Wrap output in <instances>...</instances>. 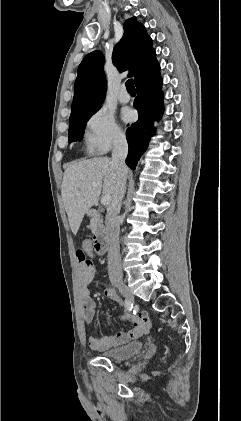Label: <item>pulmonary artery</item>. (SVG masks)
<instances>
[{
	"label": "pulmonary artery",
	"mask_w": 241,
	"mask_h": 421,
	"mask_svg": "<svg viewBox=\"0 0 241 421\" xmlns=\"http://www.w3.org/2000/svg\"><path fill=\"white\" fill-rule=\"evenodd\" d=\"M118 100L121 103H128L130 101V95L126 92L125 89H122L118 94Z\"/></svg>",
	"instance_id": "1"
}]
</instances>
